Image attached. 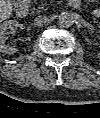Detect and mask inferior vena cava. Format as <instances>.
<instances>
[{"label":"inferior vena cava","mask_w":100,"mask_h":118,"mask_svg":"<svg viewBox=\"0 0 100 118\" xmlns=\"http://www.w3.org/2000/svg\"><path fill=\"white\" fill-rule=\"evenodd\" d=\"M48 21V17L47 16H42L39 15L34 19V24L36 26H42L44 25L46 22Z\"/></svg>","instance_id":"1"}]
</instances>
